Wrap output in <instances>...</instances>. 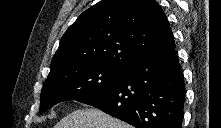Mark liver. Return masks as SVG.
<instances>
[{
  "label": "liver",
  "instance_id": "obj_1",
  "mask_svg": "<svg viewBox=\"0 0 221 128\" xmlns=\"http://www.w3.org/2000/svg\"><path fill=\"white\" fill-rule=\"evenodd\" d=\"M54 128H132L96 108L78 109L60 120Z\"/></svg>",
  "mask_w": 221,
  "mask_h": 128
}]
</instances>
